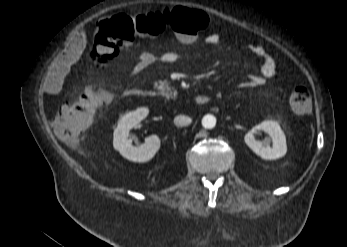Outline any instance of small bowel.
<instances>
[{
    "mask_svg": "<svg viewBox=\"0 0 347 247\" xmlns=\"http://www.w3.org/2000/svg\"><path fill=\"white\" fill-rule=\"evenodd\" d=\"M205 41L207 44L217 46L221 43V38L218 34H210L206 37ZM85 44V36L81 33L78 34L73 38L68 49L51 63L49 68V83L51 88L54 90L58 89L62 75L68 69L72 60L80 55L84 50ZM249 48L260 59V69L259 73L250 75L243 85L258 87L273 77L275 74L276 64L274 58L262 45L252 43L249 45ZM179 59L180 55L174 51L165 52L159 58L150 52H141L138 55L136 64L130 69V75L135 76L142 73L157 60L163 63H174Z\"/></svg>",
    "mask_w": 347,
    "mask_h": 247,
    "instance_id": "c3829d8e",
    "label": "small bowel"
}]
</instances>
